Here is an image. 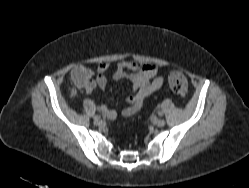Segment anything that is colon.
I'll use <instances>...</instances> for the list:
<instances>
[{"label": "colon", "instance_id": "obj_1", "mask_svg": "<svg viewBox=\"0 0 249 188\" xmlns=\"http://www.w3.org/2000/svg\"><path fill=\"white\" fill-rule=\"evenodd\" d=\"M81 75H77V79H80ZM168 84L170 88L177 94L185 95L188 89V82L186 77L178 71H172L168 75Z\"/></svg>", "mask_w": 249, "mask_h": 188}]
</instances>
